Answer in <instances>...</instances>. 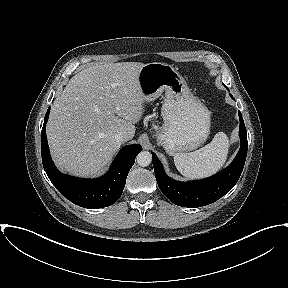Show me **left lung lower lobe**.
<instances>
[{"label":"left lung lower lobe","instance_id":"1","mask_svg":"<svg viewBox=\"0 0 288 288\" xmlns=\"http://www.w3.org/2000/svg\"><path fill=\"white\" fill-rule=\"evenodd\" d=\"M239 119L241 146L236 158L227 168L209 178L189 182L176 181L166 175L158 157L152 153L158 186L170 201L183 207H201L217 201L234 187L242 173L248 149L247 132L240 112Z\"/></svg>","mask_w":288,"mask_h":288}]
</instances>
